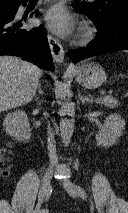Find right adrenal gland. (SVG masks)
Listing matches in <instances>:
<instances>
[{
  "label": "right adrenal gland",
  "instance_id": "2a0ac1e0",
  "mask_svg": "<svg viewBox=\"0 0 128 213\" xmlns=\"http://www.w3.org/2000/svg\"><path fill=\"white\" fill-rule=\"evenodd\" d=\"M38 95H44L42 89H41V84L38 85V94H36L34 97L35 99H38Z\"/></svg>",
  "mask_w": 128,
  "mask_h": 213
}]
</instances>
